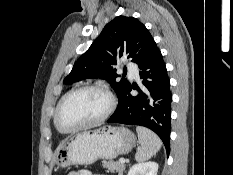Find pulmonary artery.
Instances as JSON below:
<instances>
[{
  "mask_svg": "<svg viewBox=\"0 0 233 175\" xmlns=\"http://www.w3.org/2000/svg\"><path fill=\"white\" fill-rule=\"evenodd\" d=\"M127 69L131 75L132 78L137 79L139 74H138V69L133 63H127Z\"/></svg>",
  "mask_w": 233,
  "mask_h": 175,
  "instance_id": "e3ab8cb5",
  "label": "pulmonary artery"
}]
</instances>
